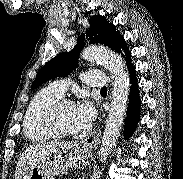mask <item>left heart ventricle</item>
Here are the masks:
<instances>
[{"mask_svg":"<svg viewBox=\"0 0 183 179\" xmlns=\"http://www.w3.org/2000/svg\"><path fill=\"white\" fill-rule=\"evenodd\" d=\"M58 126L61 130L66 132H77L75 106L66 105L62 107L58 115Z\"/></svg>","mask_w":183,"mask_h":179,"instance_id":"left-heart-ventricle-1","label":"left heart ventricle"}]
</instances>
